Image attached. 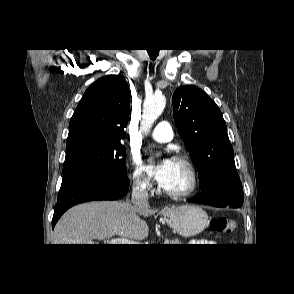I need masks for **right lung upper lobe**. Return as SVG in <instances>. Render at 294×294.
<instances>
[{"mask_svg":"<svg viewBox=\"0 0 294 294\" xmlns=\"http://www.w3.org/2000/svg\"><path fill=\"white\" fill-rule=\"evenodd\" d=\"M130 114V92L119 75L98 79L84 93L69 124L67 143L97 140L120 143Z\"/></svg>","mask_w":294,"mask_h":294,"instance_id":"cb5924a9","label":"right lung upper lobe"}]
</instances>
